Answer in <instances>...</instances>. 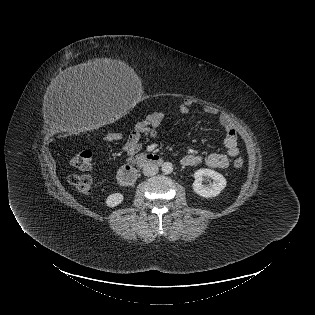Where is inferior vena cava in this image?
I'll use <instances>...</instances> for the list:
<instances>
[{
    "instance_id": "1",
    "label": "inferior vena cava",
    "mask_w": 315,
    "mask_h": 315,
    "mask_svg": "<svg viewBox=\"0 0 315 315\" xmlns=\"http://www.w3.org/2000/svg\"><path fill=\"white\" fill-rule=\"evenodd\" d=\"M143 173L145 176H153L158 173V166L154 163H146L143 167Z\"/></svg>"
}]
</instances>
